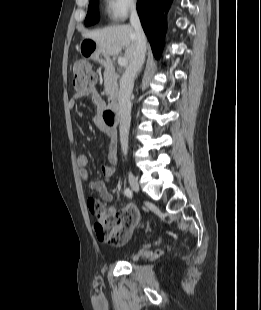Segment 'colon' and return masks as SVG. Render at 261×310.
I'll list each match as a JSON object with an SVG mask.
<instances>
[{
	"mask_svg": "<svg viewBox=\"0 0 261 310\" xmlns=\"http://www.w3.org/2000/svg\"><path fill=\"white\" fill-rule=\"evenodd\" d=\"M72 73V83L76 91L92 87L96 81L94 70L84 59L73 61ZM88 207L95 217L94 228L98 239L113 246L123 245L127 241L137 218H140L138 206L133 200L113 216L108 215L101 202L94 198L88 200Z\"/></svg>",
	"mask_w": 261,
	"mask_h": 310,
	"instance_id": "1",
	"label": "colon"
}]
</instances>
